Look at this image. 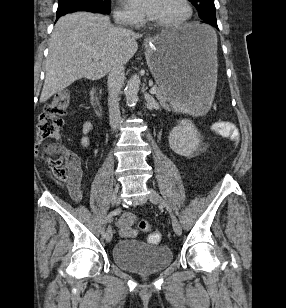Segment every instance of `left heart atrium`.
<instances>
[{
	"label": "left heart atrium",
	"mask_w": 286,
	"mask_h": 308,
	"mask_svg": "<svg viewBox=\"0 0 286 308\" xmlns=\"http://www.w3.org/2000/svg\"><path fill=\"white\" fill-rule=\"evenodd\" d=\"M158 0H125L127 8L140 17L153 18Z\"/></svg>",
	"instance_id": "obj_1"
}]
</instances>
